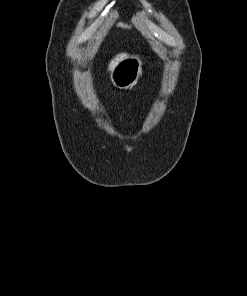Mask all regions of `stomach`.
Returning a JSON list of instances; mask_svg holds the SVG:
<instances>
[{
	"label": "stomach",
	"instance_id": "1",
	"mask_svg": "<svg viewBox=\"0 0 247 296\" xmlns=\"http://www.w3.org/2000/svg\"><path fill=\"white\" fill-rule=\"evenodd\" d=\"M142 75V61L139 57H125L111 70L110 81L119 89L132 88Z\"/></svg>",
	"mask_w": 247,
	"mask_h": 296
}]
</instances>
